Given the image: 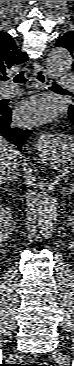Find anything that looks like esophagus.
Here are the masks:
<instances>
[{
	"mask_svg": "<svg viewBox=\"0 0 74 366\" xmlns=\"http://www.w3.org/2000/svg\"><path fill=\"white\" fill-rule=\"evenodd\" d=\"M34 81L37 86L43 88L47 83V72L42 64L34 63ZM39 150H46L48 145L47 134L41 133L37 144Z\"/></svg>",
	"mask_w": 74,
	"mask_h": 366,
	"instance_id": "esophagus-1",
	"label": "esophagus"
}]
</instances>
